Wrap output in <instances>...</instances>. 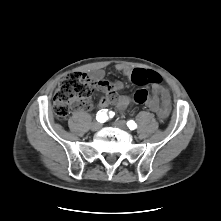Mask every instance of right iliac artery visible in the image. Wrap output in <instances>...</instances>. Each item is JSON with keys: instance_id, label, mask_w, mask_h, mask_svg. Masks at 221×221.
<instances>
[{"instance_id": "right-iliac-artery-1", "label": "right iliac artery", "mask_w": 221, "mask_h": 221, "mask_svg": "<svg viewBox=\"0 0 221 221\" xmlns=\"http://www.w3.org/2000/svg\"><path fill=\"white\" fill-rule=\"evenodd\" d=\"M106 111H107V110L104 109V110H100V111L97 113L96 119H97L98 122L103 123V122H105V121L108 119V116H107V114H106Z\"/></svg>"}]
</instances>
